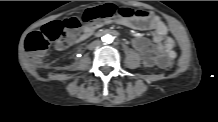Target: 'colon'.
I'll return each instance as SVG.
<instances>
[{"mask_svg": "<svg viewBox=\"0 0 218 122\" xmlns=\"http://www.w3.org/2000/svg\"><path fill=\"white\" fill-rule=\"evenodd\" d=\"M174 61L170 57H163L162 64H161V71L167 73L170 71L171 67L173 66Z\"/></svg>", "mask_w": 218, "mask_h": 122, "instance_id": "colon-1", "label": "colon"}]
</instances>
